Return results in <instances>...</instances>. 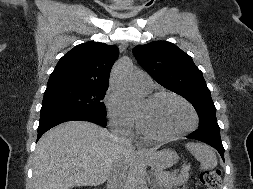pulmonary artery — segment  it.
I'll return each mask as SVG.
<instances>
[{
    "instance_id": "obj_1",
    "label": "pulmonary artery",
    "mask_w": 253,
    "mask_h": 189,
    "mask_svg": "<svg viewBox=\"0 0 253 189\" xmlns=\"http://www.w3.org/2000/svg\"><path fill=\"white\" fill-rule=\"evenodd\" d=\"M135 84L141 91L145 93L150 92L153 87L151 78L146 74L138 76L135 80Z\"/></svg>"
}]
</instances>
